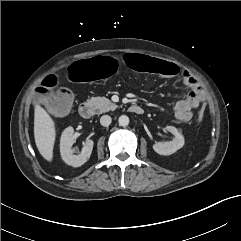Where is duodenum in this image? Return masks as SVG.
Segmentation results:
<instances>
[{"label":"duodenum","mask_w":241,"mask_h":241,"mask_svg":"<svg viewBox=\"0 0 241 241\" xmlns=\"http://www.w3.org/2000/svg\"><path fill=\"white\" fill-rule=\"evenodd\" d=\"M129 111L131 113L138 114V115L144 112L143 108L138 105H131L129 107ZM79 114L82 118L89 119L93 114V107L91 103L87 101L82 102L79 106Z\"/></svg>","instance_id":"1"}]
</instances>
